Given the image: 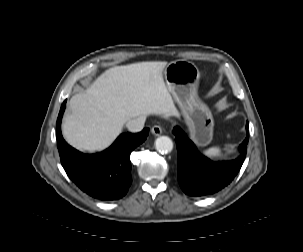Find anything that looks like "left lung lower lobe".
Here are the masks:
<instances>
[{"label": "left lung lower lobe", "instance_id": "obj_1", "mask_svg": "<svg viewBox=\"0 0 303 252\" xmlns=\"http://www.w3.org/2000/svg\"><path fill=\"white\" fill-rule=\"evenodd\" d=\"M173 131L178 154V182L186 194L204 196L216 193L227 186L239 172L247 152L248 131L239 146V156L231 161L218 162L202 155L178 126Z\"/></svg>", "mask_w": 303, "mask_h": 252}]
</instances>
